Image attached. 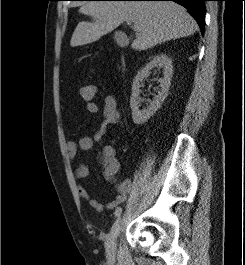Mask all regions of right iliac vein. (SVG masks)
Returning <instances> with one entry per match:
<instances>
[{
	"label": "right iliac vein",
	"mask_w": 245,
	"mask_h": 265,
	"mask_svg": "<svg viewBox=\"0 0 245 265\" xmlns=\"http://www.w3.org/2000/svg\"><path fill=\"white\" fill-rule=\"evenodd\" d=\"M124 221V217H118L111 227V230L108 234L107 240L105 242L106 256L109 261L115 260L116 254V239L120 233Z\"/></svg>",
	"instance_id": "obj_1"
}]
</instances>
